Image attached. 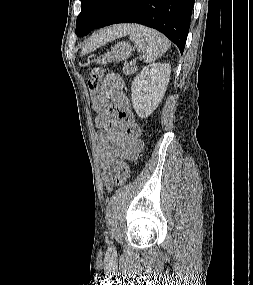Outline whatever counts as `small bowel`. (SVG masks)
Instances as JSON below:
<instances>
[{"instance_id":"c3829d8e","label":"small bowel","mask_w":253,"mask_h":285,"mask_svg":"<svg viewBox=\"0 0 253 285\" xmlns=\"http://www.w3.org/2000/svg\"><path fill=\"white\" fill-rule=\"evenodd\" d=\"M97 112L95 126L101 154V180L104 188H113L112 172L124 159L135 160L143 149L141 129L129 109L124 84L117 74L108 75L93 100Z\"/></svg>"}]
</instances>
